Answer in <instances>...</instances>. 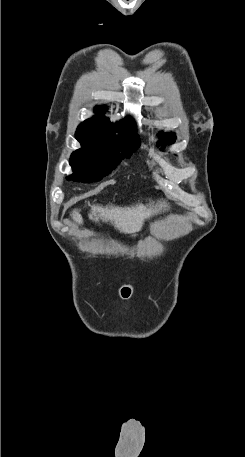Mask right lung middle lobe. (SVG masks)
<instances>
[{"label": "right lung middle lobe", "mask_w": 245, "mask_h": 457, "mask_svg": "<svg viewBox=\"0 0 245 457\" xmlns=\"http://www.w3.org/2000/svg\"><path fill=\"white\" fill-rule=\"evenodd\" d=\"M114 130L115 128L79 125L75 137L82 147L70 157L74 173L68 180L84 183L99 181L124 157L129 158L136 151L140 139L134 128H122L118 136Z\"/></svg>", "instance_id": "dd1d6c3e"}]
</instances>
